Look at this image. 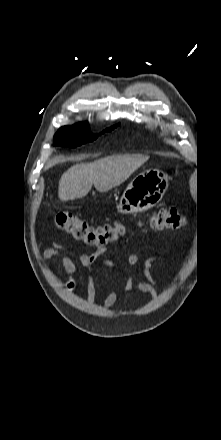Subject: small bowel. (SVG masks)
Here are the masks:
<instances>
[{
  "label": "small bowel",
  "instance_id": "obj_1",
  "mask_svg": "<svg viewBox=\"0 0 221 440\" xmlns=\"http://www.w3.org/2000/svg\"><path fill=\"white\" fill-rule=\"evenodd\" d=\"M106 251V248H100L93 253H82L78 257L79 264L86 271V290H87V300L92 302L96 296V285L94 278L92 276V270L98 261L110 269H115L116 265L113 261L109 259L101 260V256ZM56 258L61 262L62 268L66 274L69 275V279L65 283V289L71 291L76 287V281L74 279V274L77 271V265L75 261L63 253L62 248L53 243L51 247L45 249L42 253L43 260H49ZM161 261L159 256H151L145 259L143 263V272L147 281H137L135 279V266L139 262V256L137 254H131L128 257V267L126 269V282L124 286V291L130 292L135 291L150 297H156L157 291V280L152 273V267L154 264ZM118 293L116 289L112 288L107 294L103 307L105 309L110 308L117 300Z\"/></svg>",
  "mask_w": 221,
  "mask_h": 440
}]
</instances>
